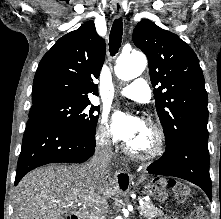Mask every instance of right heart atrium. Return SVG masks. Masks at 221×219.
<instances>
[{
    "label": "right heart atrium",
    "instance_id": "1",
    "mask_svg": "<svg viewBox=\"0 0 221 219\" xmlns=\"http://www.w3.org/2000/svg\"><path fill=\"white\" fill-rule=\"evenodd\" d=\"M110 130L106 120V117L103 116L99 120V124L96 131V140L104 147H108L110 145Z\"/></svg>",
    "mask_w": 221,
    "mask_h": 219
}]
</instances>
